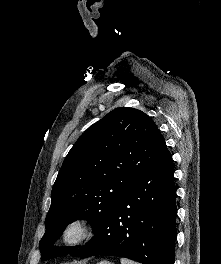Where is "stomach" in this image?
Instances as JSON below:
<instances>
[{"instance_id": "1", "label": "stomach", "mask_w": 221, "mask_h": 264, "mask_svg": "<svg viewBox=\"0 0 221 264\" xmlns=\"http://www.w3.org/2000/svg\"><path fill=\"white\" fill-rule=\"evenodd\" d=\"M97 264H113V263H111V262H109V261H101V262H99V263H97Z\"/></svg>"}]
</instances>
